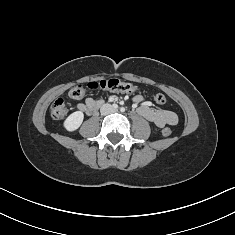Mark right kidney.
Returning a JSON list of instances; mask_svg holds the SVG:
<instances>
[{"instance_id": "obj_1", "label": "right kidney", "mask_w": 235, "mask_h": 235, "mask_svg": "<svg viewBox=\"0 0 235 235\" xmlns=\"http://www.w3.org/2000/svg\"><path fill=\"white\" fill-rule=\"evenodd\" d=\"M84 119V114L81 111H76L72 114H70L67 119L64 121V128L67 131H75L77 130L80 125L82 124Z\"/></svg>"}]
</instances>
